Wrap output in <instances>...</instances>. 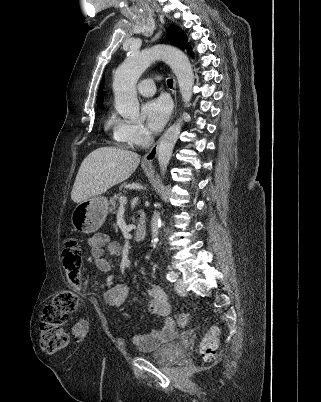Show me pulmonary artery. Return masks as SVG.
<instances>
[{"mask_svg":"<svg viewBox=\"0 0 321 402\" xmlns=\"http://www.w3.org/2000/svg\"><path fill=\"white\" fill-rule=\"evenodd\" d=\"M137 91L143 96H151L155 93V83L151 79L142 80L137 85Z\"/></svg>","mask_w":321,"mask_h":402,"instance_id":"e3ab8cb5","label":"pulmonary artery"}]
</instances>
